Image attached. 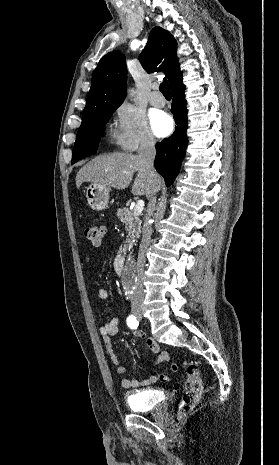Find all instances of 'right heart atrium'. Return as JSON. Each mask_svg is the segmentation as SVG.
Wrapping results in <instances>:
<instances>
[{
    "label": "right heart atrium",
    "mask_w": 279,
    "mask_h": 465,
    "mask_svg": "<svg viewBox=\"0 0 279 465\" xmlns=\"http://www.w3.org/2000/svg\"><path fill=\"white\" fill-rule=\"evenodd\" d=\"M111 139L116 146L128 152L155 145L145 117L128 104H122L115 110Z\"/></svg>",
    "instance_id": "d8ad5b80"
}]
</instances>
